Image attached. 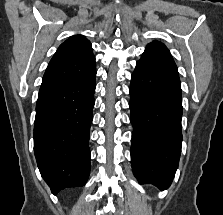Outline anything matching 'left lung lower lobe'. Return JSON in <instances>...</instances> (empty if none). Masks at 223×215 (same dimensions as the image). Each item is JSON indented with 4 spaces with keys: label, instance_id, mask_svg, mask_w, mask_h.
Listing matches in <instances>:
<instances>
[{
    "label": "left lung lower lobe",
    "instance_id": "0a47b994",
    "mask_svg": "<svg viewBox=\"0 0 223 215\" xmlns=\"http://www.w3.org/2000/svg\"><path fill=\"white\" fill-rule=\"evenodd\" d=\"M131 164L139 183L169 188L178 168L182 93L178 71L138 61L131 75Z\"/></svg>",
    "mask_w": 223,
    "mask_h": 215
}]
</instances>
